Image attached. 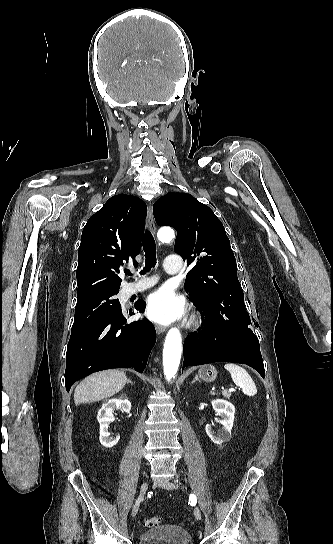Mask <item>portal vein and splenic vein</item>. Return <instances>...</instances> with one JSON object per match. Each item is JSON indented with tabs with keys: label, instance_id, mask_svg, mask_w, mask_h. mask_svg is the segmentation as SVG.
Masks as SVG:
<instances>
[{
	"label": "portal vein and splenic vein",
	"instance_id": "portal-vein-and-splenic-vein-1",
	"mask_svg": "<svg viewBox=\"0 0 333 544\" xmlns=\"http://www.w3.org/2000/svg\"><path fill=\"white\" fill-rule=\"evenodd\" d=\"M236 389H229V391H235Z\"/></svg>",
	"mask_w": 333,
	"mask_h": 544
}]
</instances>
